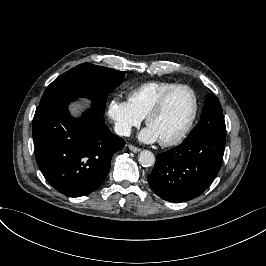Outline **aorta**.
<instances>
[{
	"mask_svg": "<svg viewBox=\"0 0 266 266\" xmlns=\"http://www.w3.org/2000/svg\"><path fill=\"white\" fill-rule=\"evenodd\" d=\"M139 162L144 168L152 167L155 164V156L151 151H142L139 154Z\"/></svg>",
	"mask_w": 266,
	"mask_h": 266,
	"instance_id": "obj_1",
	"label": "aorta"
}]
</instances>
